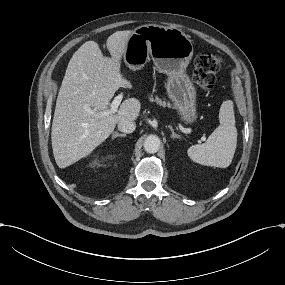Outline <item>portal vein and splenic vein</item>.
<instances>
[{
  "label": "portal vein and splenic vein",
  "mask_w": 285,
  "mask_h": 285,
  "mask_svg": "<svg viewBox=\"0 0 285 285\" xmlns=\"http://www.w3.org/2000/svg\"><path fill=\"white\" fill-rule=\"evenodd\" d=\"M130 85H128L126 88H128ZM124 98V92H120L116 97H114L113 102L111 103V111L116 112L117 107L120 105L121 101Z\"/></svg>",
  "instance_id": "1"
}]
</instances>
